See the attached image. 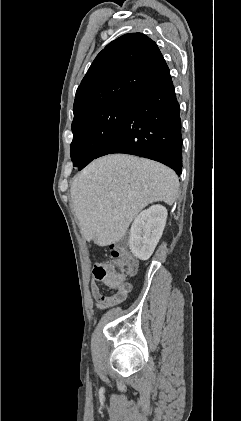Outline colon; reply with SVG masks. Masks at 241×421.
Returning a JSON list of instances; mask_svg holds the SVG:
<instances>
[{
	"instance_id": "1",
	"label": "colon",
	"mask_w": 241,
	"mask_h": 421,
	"mask_svg": "<svg viewBox=\"0 0 241 421\" xmlns=\"http://www.w3.org/2000/svg\"><path fill=\"white\" fill-rule=\"evenodd\" d=\"M136 271V261L122 244L113 246L111 254L94 270L97 280L107 282L115 287L129 286L127 278Z\"/></svg>"
}]
</instances>
